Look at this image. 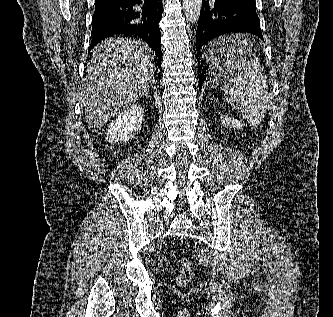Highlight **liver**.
Listing matches in <instances>:
<instances>
[{
  "mask_svg": "<svg viewBox=\"0 0 333 317\" xmlns=\"http://www.w3.org/2000/svg\"><path fill=\"white\" fill-rule=\"evenodd\" d=\"M152 58V49L137 39L110 38L95 47L79 89L90 128L100 130L118 110L148 91L154 75Z\"/></svg>",
  "mask_w": 333,
  "mask_h": 317,
  "instance_id": "6515ba94",
  "label": "liver"
}]
</instances>
